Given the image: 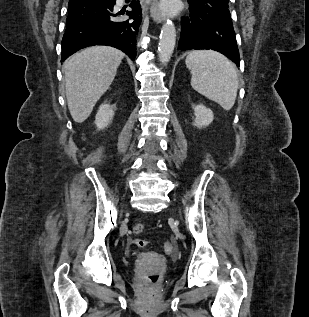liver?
Returning <instances> with one entry per match:
<instances>
[{
  "label": "liver",
  "instance_id": "6515ba94",
  "mask_svg": "<svg viewBox=\"0 0 309 317\" xmlns=\"http://www.w3.org/2000/svg\"><path fill=\"white\" fill-rule=\"evenodd\" d=\"M124 53L109 46H94L69 57L64 65L65 91L70 114L82 123L114 80Z\"/></svg>",
  "mask_w": 309,
  "mask_h": 317
}]
</instances>
